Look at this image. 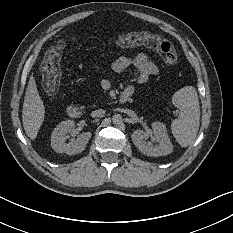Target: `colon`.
I'll return each mask as SVG.
<instances>
[{
	"label": "colon",
	"instance_id": "5ec220e1",
	"mask_svg": "<svg viewBox=\"0 0 233 233\" xmlns=\"http://www.w3.org/2000/svg\"><path fill=\"white\" fill-rule=\"evenodd\" d=\"M122 45L148 44L154 47L167 65H174L177 62V54L172 43L166 39L150 36L144 33L134 32L120 38ZM61 50L59 47H51L47 50L42 66L43 88L47 94H54L60 85L59 63Z\"/></svg>",
	"mask_w": 233,
	"mask_h": 233
}]
</instances>
